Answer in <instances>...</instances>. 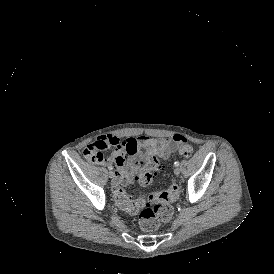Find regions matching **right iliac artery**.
Returning <instances> with one entry per match:
<instances>
[{"label": "right iliac artery", "mask_w": 274, "mask_h": 274, "mask_svg": "<svg viewBox=\"0 0 274 274\" xmlns=\"http://www.w3.org/2000/svg\"><path fill=\"white\" fill-rule=\"evenodd\" d=\"M108 169H109V170H113V167H112V166H108Z\"/></svg>", "instance_id": "82829eb1"}]
</instances>
